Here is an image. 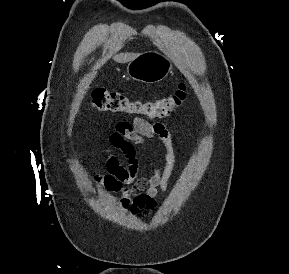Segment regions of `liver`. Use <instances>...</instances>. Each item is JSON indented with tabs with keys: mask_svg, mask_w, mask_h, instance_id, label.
Instances as JSON below:
<instances>
[{
	"mask_svg": "<svg viewBox=\"0 0 289 274\" xmlns=\"http://www.w3.org/2000/svg\"><path fill=\"white\" fill-rule=\"evenodd\" d=\"M138 54L135 53H120L114 57L118 63H127L133 60Z\"/></svg>",
	"mask_w": 289,
	"mask_h": 274,
	"instance_id": "6515ba94",
	"label": "liver"
}]
</instances>
